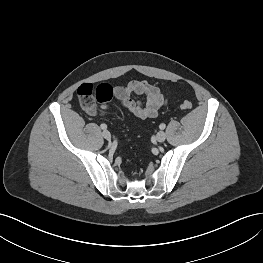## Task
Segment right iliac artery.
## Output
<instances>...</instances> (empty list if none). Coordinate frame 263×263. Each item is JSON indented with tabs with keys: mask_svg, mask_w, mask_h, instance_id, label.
Here are the masks:
<instances>
[{
	"mask_svg": "<svg viewBox=\"0 0 263 263\" xmlns=\"http://www.w3.org/2000/svg\"><path fill=\"white\" fill-rule=\"evenodd\" d=\"M100 127H101V129H103V130L107 129V125H106V124H104V123H103V124H101V125H100Z\"/></svg>",
	"mask_w": 263,
	"mask_h": 263,
	"instance_id": "82829eb1",
	"label": "right iliac artery"
}]
</instances>
